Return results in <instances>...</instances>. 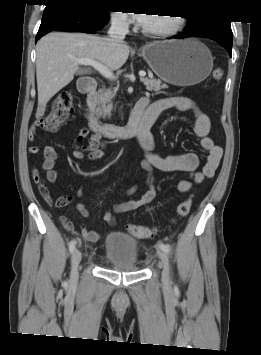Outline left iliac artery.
<instances>
[{
    "label": "left iliac artery",
    "instance_id": "44dca946",
    "mask_svg": "<svg viewBox=\"0 0 261 355\" xmlns=\"http://www.w3.org/2000/svg\"><path fill=\"white\" fill-rule=\"evenodd\" d=\"M158 246L161 250H163L164 252H166L168 254L171 252V248L168 244L159 243Z\"/></svg>",
    "mask_w": 261,
    "mask_h": 355
}]
</instances>
